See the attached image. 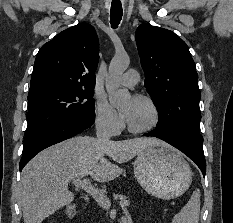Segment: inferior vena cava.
<instances>
[{"label":"inferior vena cava","mask_w":233,"mask_h":223,"mask_svg":"<svg viewBox=\"0 0 233 223\" xmlns=\"http://www.w3.org/2000/svg\"><path fill=\"white\" fill-rule=\"evenodd\" d=\"M96 135L98 143H108L110 141L111 125L108 119H99L96 123Z\"/></svg>","instance_id":"obj_1"}]
</instances>
